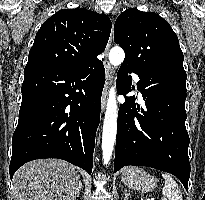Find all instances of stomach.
<instances>
[{
  "label": "stomach",
  "mask_w": 205,
  "mask_h": 200,
  "mask_svg": "<svg viewBox=\"0 0 205 200\" xmlns=\"http://www.w3.org/2000/svg\"><path fill=\"white\" fill-rule=\"evenodd\" d=\"M122 180L128 187L145 193L152 191L157 184V180L154 177L138 167L124 169Z\"/></svg>",
  "instance_id": "0dacf381"
}]
</instances>
